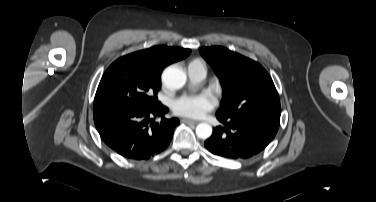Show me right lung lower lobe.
Wrapping results in <instances>:
<instances>
[{
	"mask_svg": "<svg viewBox=\"0 0 376 202\" xmlns=\"http://www.w3.org/2000/svg\"><path fill=\"white\" fill-rule=\"evenodd\" d=\"M167 112L161 103L150 108L111 106L94 111V123L102 140L118 154L144 160L165 150L172 139L177 118L151 120Z\"/></svg>",
	"mask_w": 376,
	"mask_h": 202,
	"instance_id": "98d812e1",
	"label": "right lung lower lobe"
}]
</instances>
